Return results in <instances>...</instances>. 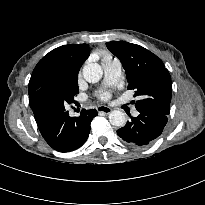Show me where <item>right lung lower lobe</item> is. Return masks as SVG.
<instances>
[{
    "mask_svg": "<svg viewBox=\"0 0 205 205\" xmlns=\"http://www.w3.org/2000/svg\"><path fill=\"white\" fill-rule=\"evenodd\" d=\"M73 93L63 83L43 86L30 96L29 104L45 141L55 150L70 152L81 147L90 133L96 109L82 110L79 117H70L67 104L76 103Z\"/></svg>",
    "mask_w": 205,
    "mask_h": 205,
    "instance_id": "right-lung-lower-lobe-1",
    "label": "right lung lower lobe"
}]
</instances>
